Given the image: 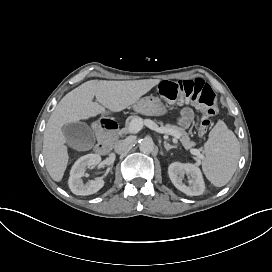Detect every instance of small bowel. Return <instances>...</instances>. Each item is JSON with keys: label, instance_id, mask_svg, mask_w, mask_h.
<instances>
[{"label": "small bowel", "instance_id": "obj_1", "mask_svg": "<svg viewBox=\"0 0 272 272\" xmlns=\"http://www.w3.org/2000/svg\"><path fill=\"white\" fill-rule=\"evenodd\" d=\"M193 119V111L189 107H184L181 111L180 118H179V123L182 126H188Z\"/></svg>", "mask_w": 272, "mask_h": 272}]
</instances>
